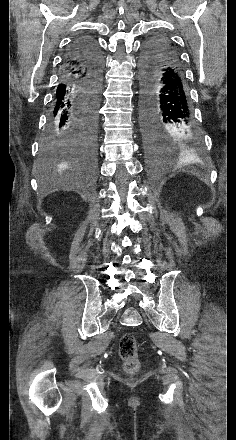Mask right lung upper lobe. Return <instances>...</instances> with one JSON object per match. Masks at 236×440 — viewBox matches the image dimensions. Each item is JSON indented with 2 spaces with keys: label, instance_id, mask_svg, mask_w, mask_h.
Masks as SVG:
<instances>
[{
  "label": "right lung upper lobe",
  "instance_id": "right-lung-upper-lobe-1",
  "mask_svg": "<svg viewBox=\"0 0 236 440\" xmlns=\"http://www.w3.org/2000/svg\"><path fill=\"white\" fill-rule=\"evenodd\" d=\"M73 74V75H79L80 74V71H77V72H72V71H69V69L66 71V73L65 74H63V69H62V74H61V76H63V75H69V74Z\"/></svg>",
  "mask_w": 236,
  "mask_h": 440
}]
</instances>
